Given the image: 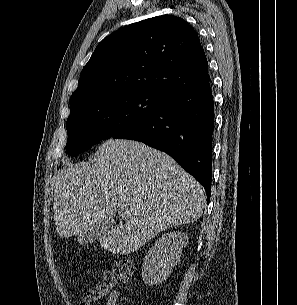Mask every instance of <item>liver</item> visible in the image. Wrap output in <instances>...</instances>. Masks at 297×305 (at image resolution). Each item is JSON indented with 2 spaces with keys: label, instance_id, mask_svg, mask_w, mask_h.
<instances>
[{
  "label": "liver",
  "instance_id": "liver-1",
  "mask_svg": "<svg viewBox=\"0 0 297 305\" xmlns=\"http://www.w3.org/2000/svg\"><path fill=\"white\" fill-rule=\"evenodd\" d=\"M54 221L60 238L88 232L103 221L114 225L100 246L128 255L158 233L188 224L203 213L202 186L167 154L143 143L109 139L94 164H68L54 182Z\"/></svg>",
  "mask_w": 297,
  "mask_h": 305
}]
</instances>
